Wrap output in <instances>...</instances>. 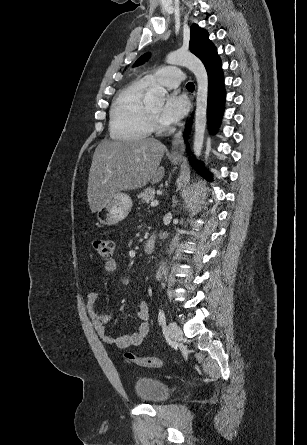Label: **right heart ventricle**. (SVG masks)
<instances>
[{
  "label": "right heart ventricle",
  "instance_id": "right-heart-ventricle-1",
  "mask_svg": "<svg viewBox=\"0 0 307 445\" xmlns=\"http://www.w3.org/2000/svg\"><path fill=\"white\" fill-rule=\"evenodd\" d=\"M148 85L146 80L134 82L114 99L110 112L111 138L149 140L147 135L152 126L144 102Z\"/></svg>",
  "mask_w": 307,
  "mask_h": 445
}]
</instances>
